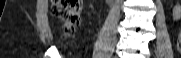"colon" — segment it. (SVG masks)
<instances>
[{
  "label": "colon",
  "instance_id": "5ec220e1",
  "mask_svg": "<svg viewBox=\"0 0 181 58\" xmlns=\"http://www.w3.org/2000/svg\"><path fill=\"white\" fill-rule=\"evenodd\" d=\"M53 12L63 23V38L74 34L80 23L82 0H55ZM177 48L181 53V32L177 39Z\"/></svg>",
  "mask_w": 181,
  "mask_h": 58
}]
</instances>
